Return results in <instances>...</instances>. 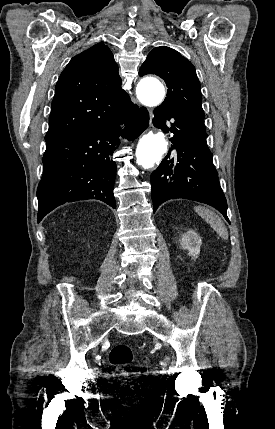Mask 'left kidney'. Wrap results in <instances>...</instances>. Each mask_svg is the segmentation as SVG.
<instances>
[{
	"instance_id": "obj_1",
	"label": "left kidney",
	"mask_w": 275,
	"mask_h": 429,
	"mask_svg": "<svg viewBox=\"0 0 275 429\" xmlns=\"http://www.w3.org/2000/svg\"><path fill=\"white\" fill-rule=\"evenodd\" d=\"M202 241L200 236L194 230H188L183 234L181 246L188 251L189 256L196 259L200 253Z\"/></svg>"
}]
</instances>
